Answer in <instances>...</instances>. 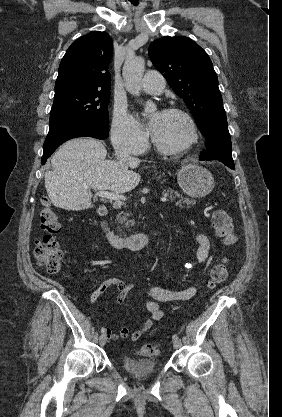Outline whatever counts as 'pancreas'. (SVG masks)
<instances>
[{
	"label": "pancreas",
	"mask_w": 282,
	"mask_h": 417,
	"mask_svg": "<svg viewBox=\"0 0 282 417\" xmlns=\"http://www.w3.org/2000/svg\"><path fill=\"white\" fill-rule=\"evenodd\" d=\"M165 194H169L171 200H175L176 206H182V209L183 204H187L186 209H190L191 204H195V200H191V198H187V196L179 194L177 190H172V188H167V190H165ZM127 217H130L129 213H123V211L117 215L119 223H126V225H129V223H134V221H128Z\"/></svg>",
	"instance_id": "obj_1"
}]
</instances>
